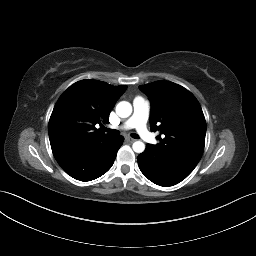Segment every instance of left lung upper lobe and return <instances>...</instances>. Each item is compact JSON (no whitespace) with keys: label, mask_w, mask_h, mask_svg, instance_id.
Masks as SVG:
<instances>
[{"label":"left lung upper lobe","mask_w":256,"mask_h":256,"mask_svg":"<svg viewBox=\"0 0 256 256\" xmlns=\"http://www.w3.org/2000/svg\"><path fill=\"white\" fill-rule=\"evenodd\" d=\"M151 101L152 131L165 137L151 145L153 155L176 168L192 172L201 159L206 134V121L194 95L169 81L139 86Z\"/></svg>","instance_id":"1"}]
</instances>
